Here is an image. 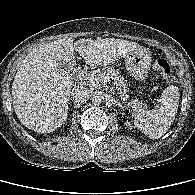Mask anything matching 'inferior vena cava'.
Wrapping results in <instances>:
<instances>
[{"instance_id": "602c4592", "label": "inferior vena cava", "mask_w": 195, "mask_h": 195, "mask_svg": "<svg viewBox=\"0 0 195 195\" xmlns=\"http://www.w3.org/2000/svg\"><path fill=\"white\" fill-rule=\"evenodd\" d=\"M71 96L74 102L85 103L91 97V92L87 88L76 86L73 88Z\"/></svg>"}]
</instances>
